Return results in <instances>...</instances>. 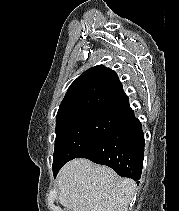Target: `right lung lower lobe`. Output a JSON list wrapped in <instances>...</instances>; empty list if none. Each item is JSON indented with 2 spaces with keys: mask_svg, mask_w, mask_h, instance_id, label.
<instances>
[{
  "mask_svg": "<svg viewBox=\"0 0 179 211\" xmlns=\"http://www.w3.org/2000/svg\"><path fill=\"white\" fill-rule=\"evenodd\" d=\"M144 143L141 123L128 105L107 135L76 158H87L109 166L120 176L129 177L138 184L143 167ZM61 167L53 169L54 177Z\"/></svg>",
  "mask_w": 179,
  "mask_h": 211,
  "instance_id": "right-lung-lower-lobe-1",
  "label": "right lung lower lobe"
}]
</instances>
